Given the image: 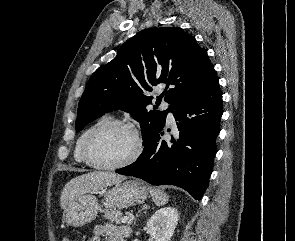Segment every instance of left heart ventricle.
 Returning a JSON list of instances; mask_svg holds the SVG:
<instances>
[{
	"mask_svg": "<svg viewBox=\"0 0 295 241\" xmlns=\"http://www.w3.org/2000/svg\"><path fill=\"white\" fill-rule=\"evenodd\" d=\"M136 141L132 132L115 127L99 136L92 148L94 159L103 164H116L128 159L134 152Z\"/></svg>",
	"mask_w": 295,
	"mask_h": 241,
	"instance_id": "left-heart-ventricle-1",
	"label": "left heart ventricle"
}]
</instances>
